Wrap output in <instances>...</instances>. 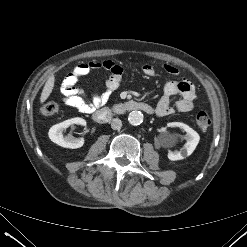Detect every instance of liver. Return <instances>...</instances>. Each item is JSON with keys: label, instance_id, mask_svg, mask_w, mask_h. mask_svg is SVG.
I'll return each mask as SVG.
<instances>
[{"label": "liver", "instance_id": "1", "mask_svg": "<svg viewBox=\"0 0 247 247\" xmlns=\"http://www.w3.org/2000/svg\"><path fill=\"white\" fill-rule=\"evenodd\" d=\"M55 77L54 75H51L48 80L46 81L41 96H40V102L43 103L47 100V98L50 96L53 87H54Z\"/></svg>", "mask_w": 247, "mask_h": 247}]
</instances>
